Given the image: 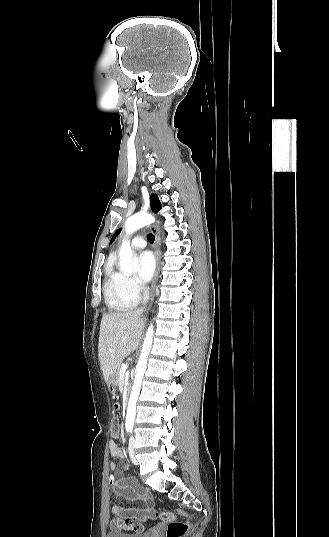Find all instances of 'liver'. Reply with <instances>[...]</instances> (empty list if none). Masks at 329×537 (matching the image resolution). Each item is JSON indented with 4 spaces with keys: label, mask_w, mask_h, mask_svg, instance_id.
I'll list each match as a JSON object with an SVG mask.
<instances>
[{
    "label": "liver",
    "mask_w": 329,
    "mask_h": 537,
    "mask_svg": "<svg viewBox=\"0 0 329 537\" xmlns=\"http://www.w3.org/2000/svg\"><path fill=\"white\" fill-rule=\"evenodd\" d=\"M143 322L141 313L127 311L103 316L100 325L98 357L106 382L122 360L138 347Z\"/></svg>",
    "instance_id": "6515ba94"
}]
</instances>
